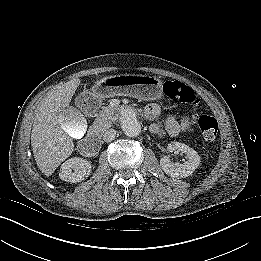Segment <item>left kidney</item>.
<instances>
[{
    "mask_svg": "<svg viewBox=\"0 0 261 261\" xmlns=\"http://www.w3.org/2000/svg\"><path fill=\"white\" fill-rule=\"evenodd\" d=\"M170 152H182L187 155V160L183 163L172 162L168 156L160 159L162 170L169 176L175 178H185L190 176L200 164V156L198 153L180 142H171L167 146Z\"/></svg>",
    "mask_w": 261,
    "mask_h": 261,
    "instance_id": "1",
    "label": "left kidney"
}]
</instances>
